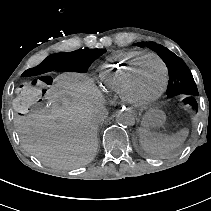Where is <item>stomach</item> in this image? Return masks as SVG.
Segmentation results:
<instances>
[{"instance_id": "stomach-1", "label": "stomach", "mask_w": 211, "mask_h": 211, "mask_svg": "<svg viewBox=\"0 0 211 211\" xmlns=\"http://www.w3.org/2000/svg\"><path fill=\"white\" fill-rule=\"evenodd\" d=\"M165 114L158 109L149 110L143 117L142 123L146 128L159 127L165 122Z\"/></svg>"}]
</instances>
